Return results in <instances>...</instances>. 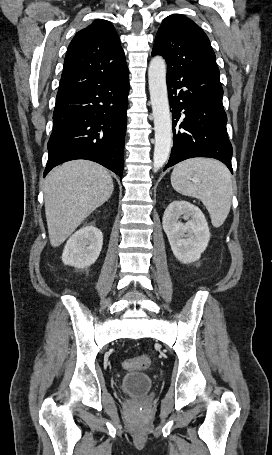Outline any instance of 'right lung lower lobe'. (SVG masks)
<instances>
[{"label": "right lung lower lobe", "mask_w": 272, "mask_h": 455, "mask_svg": "<svg viewBox=\"0 0 272 455\" xmlns=\"http://www.w3.org/2000/svg\"><path fill=\"white\" fill-rule=\"evenodd\" d=\"M128 93L129 73L56 98L44 177L73 159L95 161L122 177Z\"/></svg>", "instance_id": "98d812e1"}]
</instances>
